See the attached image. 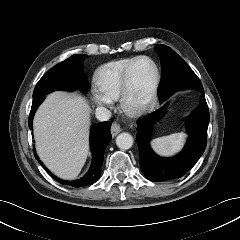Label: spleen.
Here are the masks:
<instances>
[{
	"instance_id": "1",
	"label": "spleen",
	"mask_w": 240,
	"mask_h": 240,
	"mask_svg": "<svg viewBox=\"0 0 240 240\" xmlns=\"http://www.w3.org/2000/svg\"><path fill=\"white\" fill-rule=\"evenodd\" d=\"M186 135L184 133H174L154 139L151 142L153 149L162 156H171L181 150L184 145Z\"/></svg>"
}]
</instances>
